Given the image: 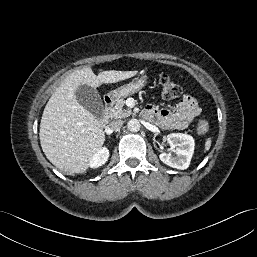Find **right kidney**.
Here are the masks:
<instances>
[{
	"instance_id": "right-kidney-1",
	"label": "right kidney",
	"mask_w": 257,
	"mask_h": 257,
	"mask_svg": "<svg viewBox=\"0 0 257 257\" xmlns=\"http://www.w3.org/2000/svg\"><path fill=\"white\" fill-rule=\"evenodd\" d=\"M109 158V150L106 147L100 148L93 154L89 161V167L98 168L106 163Z\"/></svg>"
}]
</instances>
